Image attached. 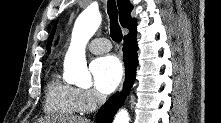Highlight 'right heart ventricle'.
I'll return each mask as SVG.
<instances>
[{
	"mask_svg": "<svg viewBox=\"0 0 221 123\" xmlns=\"http://www.w3.org/2000/svg\"><path fill=\"white\" fill-rule=\"evenodd\" d=\"M76 90L53 74L46 85L45 112L58 116H73L79 113Z\"/></svg>",
	"mask_w": 221,
	"mask_h": 123,
	"instance_id": "e07e8e85",
	"label": "right heart ventricle"
}]
</instances>
